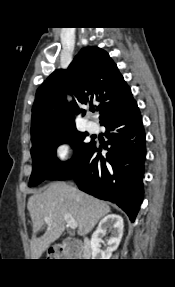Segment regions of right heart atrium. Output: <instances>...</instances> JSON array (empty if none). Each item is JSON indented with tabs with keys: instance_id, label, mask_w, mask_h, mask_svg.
<instances>
[{
	"instance_id": "obj_1",
	"label": "right heart atrium",
	"mask_w": 175,
	"mask_h": 287,
	"mask_svg": "<svg viewBox=\"0 0 175 287\" xmlns=\"http://www.w3.org/2000/svg\"><path fill=\"white\" fill-rule=\"evenodd\" d=\"M73 147L67 141H60L54 147V157L59 163H64L68 160L70 155L72 154Z\"/></svg>"
}]
</instances>
